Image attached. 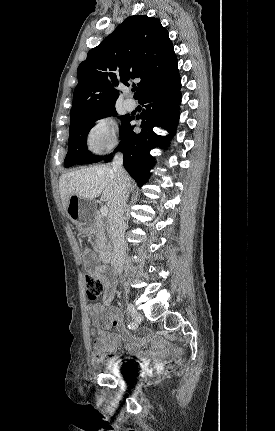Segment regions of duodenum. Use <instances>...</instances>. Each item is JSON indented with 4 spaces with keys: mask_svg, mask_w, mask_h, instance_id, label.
<instances>
[{
    "mask_svg": "<svg viewBox=\"0 0 275 431\" xmlns=\"http://www.w3.org/2000/svg\"><path fill=\"white\" fill-rule=\"evenodd\" d=\"M99 258L104 263H111L114 259L113 249L110 246H103L99 250Z\"/></svg>",
    "mask_w": 275,
    "mask_h": 431,
    "instance_id": "410a0bca",
    "label": "duodenum"
}]
</instances>
